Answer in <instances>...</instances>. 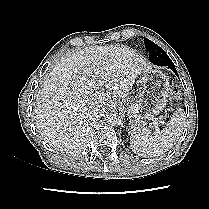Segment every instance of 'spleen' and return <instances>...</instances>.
<instances>
[{"label": "spleen", "mask_w": 209, "mask_h": 209, "mask_svg": "<svg viewBox=\"0 0 209 209\" xmlns=\"http://www.w3.org/2000/svg\"><path fill=\"white\" fill-rule=\"evenodd\" d=\"M186 123L185 112L178 108L167 126L159 133L151 134L147 128H135L131 133L130 148L142 157H155L164 154L178 141Z\"/></svg>", "instance_id": "obj_1"}]
</instances>
